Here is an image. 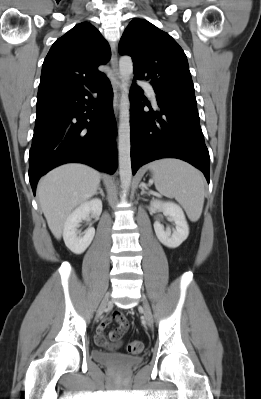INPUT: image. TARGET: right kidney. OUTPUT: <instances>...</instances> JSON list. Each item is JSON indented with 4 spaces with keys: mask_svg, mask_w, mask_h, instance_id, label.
Here are the masks:
<instances>
[{
    "mask_svg": "<svg viewBox=\"0 0 261 399\" xmlns=\"http://www.w3.org/2000/svg\"><path fill=\"white\" fill-rule=\"evenodd\" d=\"M102 212V201L98 198L82 203L66 219L63 227V239L67 248L75 254H82L91 244L95 229L88 228L84 235H78L77 228L82 220L91 213L99 217Z\"/></svg>",
    "mask_w": 261,
    "mask_h": 399,
    "instance_id": "ca27d5eb",
    "label": "right kidney"
}]
</instances>
